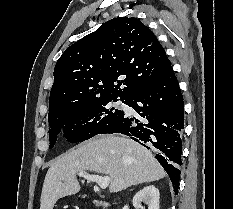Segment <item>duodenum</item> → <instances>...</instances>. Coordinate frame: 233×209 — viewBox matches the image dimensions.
<instances>
[{"instance_id": "410a0bca", "label": "duodenum", "mask_w": 233, "mask_h": 209, "mask_svg": "<svg viewBox=\"0 0 233 209\" xmlns=\"http://www.w3.org/2000/svg\"><path fill=\"white\" fill-rule=\"evenodd\" d=\"M91 202L94 205L99 206V207H101L103 209H106L109 206V203L104 202V201L91 200Z\"/></svg>"}]
</instances>
